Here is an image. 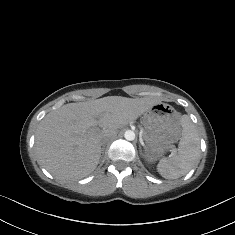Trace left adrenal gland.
<instances>
[{
  "mask_svg": "<svg viewBox=\"0 0 235 235\" xmlns=\"http://www.w3.org/2000/svg\"><path fill=\"white\" fill-rule=\"evenodd\" d=\"M139 151L140 153H142V147L139 145Z\"/></svg>",
  "mask_w": 235,
  "mask_h": 235,
  "instance_id": "1",
  "label": "left adrenal gland"
}]
</instances>
